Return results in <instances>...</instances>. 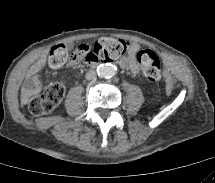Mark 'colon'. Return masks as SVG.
Masks as SVG:
<instances>
[{
	"mask_svg": "<svg viewBox=\"0 0 215 183\" xmlns=\"http://www.w3.org/2000/svg\"><path fill=\"white\" fill-rule=\"evenodd\" d=\"M126 50V44L113 38H100L92 45L83 44L76 48L70 59L76 62L82 60L88 63H106L117 60ZM68 57L67 47L57 44L52 47L48 62L51 67L62 66ZM139 63L143 68L145 78L150 82H157L161 77L160 61L151 50H142L137 54ZM65 94V86L61 82L48 85L43 92L31 97L29 109L35 115L51 113L62 100Z\"/></svg>",
	"mask_w": 215,
	"mask_h": 183,
	"instance_id": "5ec220e1",
	"label": "colon"
}]
</instances>
